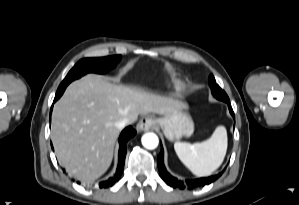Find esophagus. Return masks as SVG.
<instances>
[{"label":"esophagus","instance_id":"esophagus-1","mask_svg":"<svg viewBox=\"0 0 299 205\" xmlns=\"http://www.w3.org/2000/svg\"><path fill=\"white\" fill-rule=\"evenodd\" d=\"M156 125V120L151 117L142 118L137 124L138 131H148Z\"/></svg>","mask_w":299,"mask_h":205}]
</instances>
